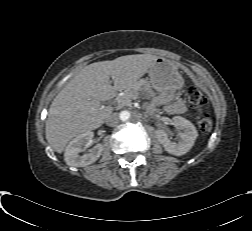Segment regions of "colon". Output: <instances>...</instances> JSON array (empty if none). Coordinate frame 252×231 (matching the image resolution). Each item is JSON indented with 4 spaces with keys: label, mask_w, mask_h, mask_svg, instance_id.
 Instances as JSON below:
<instances>
[{
    "label": "colon",
    "mask_w": 252,
    "mask_h": 231,
    "mask_svg": "<svg viewBox=\"0 0 252 231\" xmlns=\"http://www.w3.org/2000/svg\"><path fill=\"white\" fill-rule=\"evenodd\" d=\"M186 100L190 107L198 108L206 103L203 94L196 88H189L186 92ZM199 129L203 133H208L212 129V119L209 115H204L198 122Z\"/></svg>",
    "instance_id": "colon-1"
}]
</instances>
